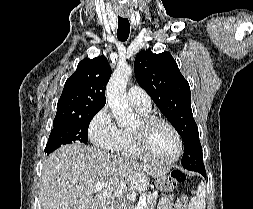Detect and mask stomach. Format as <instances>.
Wrapping results in <instances>:
<instances>
[{"instance_id": "stomach-1", "label": "stomach", "mask_w": 253, "mask_h": 209, "mask_svg": "<svg viewBox=\"0 0 253 209\" xmlns=\"http://www.w3.org/2000/svg\"><path fill=\"white\" fill-rule=\"evenodd\" d=\"M168 177L166 174H161V176L157 179V190L158 192H165L167 188ZM140 186H150V181H140ZM153 184V183H152ZM134 182H123V185L121 188H119V193H121V196H119V201L117 202V209H130L131 202H129V199H125L124 196H130V188L128 187H134Z\"/></svg>"}]
</instances>
